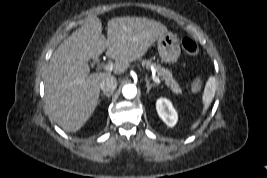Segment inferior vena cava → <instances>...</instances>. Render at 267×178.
<instances>
[{"instance_id": "inferior-vena-cava-1", "label": "inferior vena cava", "mask_w": 267, "mask_h": 178, "mask_svg": "<svg viewBox=\"0 0 267 178\" xmlns=\"http://www.w3.org/2000/svg\"><path fill=\"white\" fill-rule=\"evenodd\" d=\"M117 87V80L114 76H108L100 83V88L104 93H113Z\"/></svg>"}]
</instances>
